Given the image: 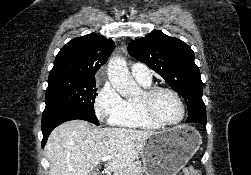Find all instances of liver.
<instances>
[{
  "instance_id": "liver-1",
  "label": "liver",
  "mask_w": 251,
  "mask_h": 175,
  "mask_svg": "<svg viewBox=\"0 0 251 175\" xmlns=\"http://www.w3.org/2000/svg\"><path fill=\"white\" fill-rule=\"evenodd\" d=\"M151 133L125 127L92 129L83 119L65 121L51 131L45 145L49 175H88L104 155H111L106 171H118L138 157Z\"/></svg>"
}]
</instances>
